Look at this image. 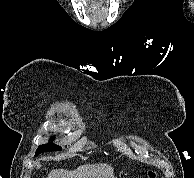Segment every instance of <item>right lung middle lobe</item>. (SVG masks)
I'll list each match as a JSON object with an SVG mask.
<instances>
[{
  "mask_svg": "<svg viewBox=\"0 0 194 178\" xmlns=\"http://www.w3.org/2000/svg\"><path fill=\"white\" fill-rule=\"evenodd\" d=\"M57 150H61V147H59L53 143H48V144L40 145L38 147L35 155H38V154L43 153V152L57 151Z\"/></svg>",
  "mask_w": 194,
  "mask_h": 178,
  "instance_id": "dd1d6c3e",
  "label": "right lung middle lobe"
}]
</instances>
